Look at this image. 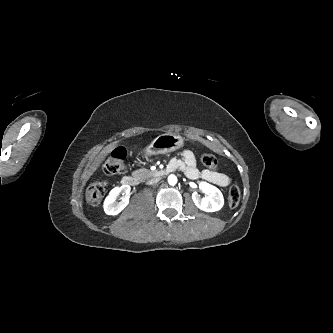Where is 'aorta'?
I'll return each instance as SVG.
<instances>
[{"instance_id":"762f6f07","label":"aorta","mask_w":333,"mask_h":333,"mask_svg":"<svg viewBox=\"0 0 333 333\" xmlns=\"http://www.w3.org/2000/svg\"><path fill=\"white\" fill-rule=\"evenodd\" d=\"M168 183H169L170 185H175V184H177V177H176V175H174V174L169 175V176H168Z\"/></svg>"}]
</instances>
